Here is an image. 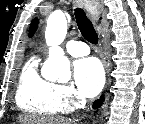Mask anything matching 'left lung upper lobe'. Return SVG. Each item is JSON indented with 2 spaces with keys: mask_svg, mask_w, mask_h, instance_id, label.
Listing matches in <instances>:
<instances>
[{
  "mask_svg": "<svg viewBox=\"0 0 145 124\" xmlns=\"http://www.w3.org/2000/svg\"><path fill=\"white\" fill-rule=\"evenodd\" d=\"M37 28V20H33L30 27V36L34 33Z\"/></svg>",
  "mask_w": 145,
  "mask_h": 124,
  "instance_id": "obj_1",
  "label": "left lung upper lobe"
}]
</instances>
